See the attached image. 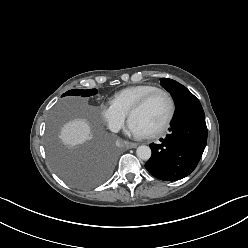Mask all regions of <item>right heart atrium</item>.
<instances>
[{"label": "right heart atrium", "instance_id": "d8ad5b80", "mask_svg": "<svg viewBox=\"0 0 248 248\" xmlns=\"http://www.w3.org/2000/svg\"><path fill=\"white\" fill-rule=\"evenodd\" d=\"M101 115L109 129L114 132H118L122 129L127 118V113L120 109L112 101L101 107Z\"/></svg>", "mask_w": 248, "mask_h": 248}]
</instances>
